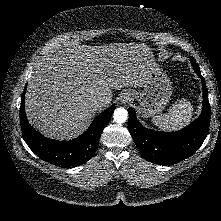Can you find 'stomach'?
Instances as JSON below:
<instances>
[{
	"label": "stomach",
	"mask_w": 221,
	"mask_h": 221,
	"mask_svg": "<svg viewBox=\"0 0 221 221\" xmlns=\"http://www.w3.org/2000/svg\"><path fill=\"white\" fill-rule=\"evenodd\" d=\"M132 100L138 102L143 117H152L161 113L168 104L172 85L166 73L159 67L151 71L141 91H131Z\"/></svg>",
	"instance_id": "obj_1"
}]
</instances>
